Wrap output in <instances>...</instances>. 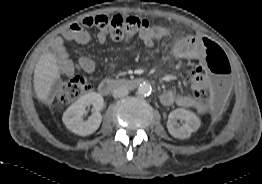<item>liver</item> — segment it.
I'll use <instances>...</instances> for the list:
<instances>
[{"instance_id": "6515ba94", "label": "liver", "mask_w": 262, "mask_h": 184, "mask_svg": "<svg viewBox=\"0 0 262 184\" xmlns=\"http://www.w3.org/2000/svg\"><path fill=\"white\" fill-rule=\"evenodd\" d=\"M60 78L57 59L52 53H45L37 62L34 69V90L37 99L42 103H49L53 86Z\"/></svg>"}]
</instances>
